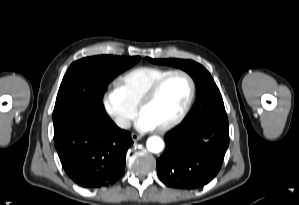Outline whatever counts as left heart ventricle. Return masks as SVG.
<instances>
[{"instance_id":"obj_1","label":"left heart ventricle","mask_w":299,"mask_h":205,"mask_svg":"<svg viewBox=\"0 0 299 205\" xmlns=\"http://www.w3.org/2000/svg\"><path fill=\"white\" fill-rule=\"evenodd\" d=\"M190 93L188 80L176 75L169 78L154 99L143 108L141 114L147 116L156 127L174 119L183 109Z\"/></svg>"}]
</instances>
